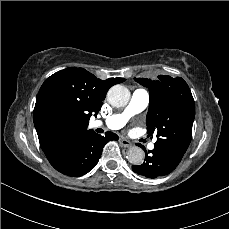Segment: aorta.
<instances>
[{"label": "aorta", "instance_id": "obj_1", "mask_svg": "<svg viewBox=\"0 0 229 229\" xmlns=\"http://www.w3.org/2000/svg\"><path fill=\"white\" fill-rule=\"evenodd\" d=\"M130 91L120 84L112 86L107 93V100L113 107H124L130 100ZM144 151L138 146H132L127 150V159L133 165H140L144 161Z\"/></svg>", "mask_w": 229, "mask_h": 229}]
</instances>
